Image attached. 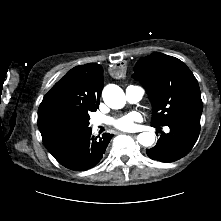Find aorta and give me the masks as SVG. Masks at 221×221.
Instances as JSON below:
<instances>
[{
    "label": "aorta",
    "mask_w": 221,
    "mask_h": 221,
    "mask_svg": "<svg viewBox=\"0 0 221 221\" xmlns=\"http://www.w3.org/2000/svg\"><path fill=\"white\" fill-rule=\"evenodd\" d=\"M102 97L105 104L112 109H121L126 103L123 90L115 84L105 86ZM137 140L141 145L149 147L155 142V135L152 132H143L137 136Z\"/></svg>",
    "instance_id": "1"
}]
</instances>
